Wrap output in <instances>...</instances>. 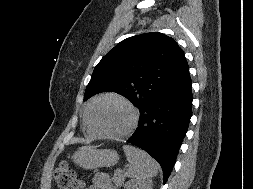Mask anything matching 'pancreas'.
<instances>
[{"label": "pancreas", "instance_id": "1", "mask_svg": "<svg viewBox=\"0 0 253 189\" xmlns=\"http://www.w3.org/2000/svg\"><path fill=\"white\" fill-rule=\"evenodd\" d=\"M125 175L122 172H116L112 178L113 183L116 186H121L123 184Z\"/></svg>", "mask_w": 253, "mask_h": 189}]
</instances>
